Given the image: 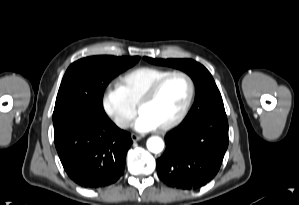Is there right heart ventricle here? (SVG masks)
Here are the masks:
<instances>
[{
    "instance_id": "1",
    "label": "right heart ventricle",
    "mask_w": 299,
    "mask_h": 205,
    "mask_svg": "<svg viewBox=\"0 0 299 205\" xmlns=\"http://www.w3.org/2000/svg\"><path fill=\"white\" fill-rule=\"evenodd\" d=\"M171 72L152 66L134 68L117 79V86L122 90L127 100L137 105L144 92L160 77Z\"/></svg>"
}]
</instances>
